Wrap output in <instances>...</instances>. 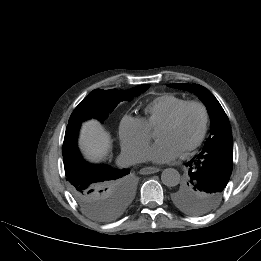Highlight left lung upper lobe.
<instances>
[{
  "label": "left lung upper lobe",
  "mask_w": 261,
  "mask_h": 261,
  "mask_svg": "<svg viewBox=\"0 0 261 261\" xmlns=\"http://www.w3.org/2000/svg\"><path fill=\"white\" fill-rule=\"evenodd\" d=\"M194 92L207 107L211 130L204 148L186 166L185 181L173 192L172 199L182 211L201 216L222 199L233 166L232 132L227 115L213 94L199 84H168Z\"/></svg>",
  "instance_id": "left-lung-upper-lobe-1"
}]
</instances>
